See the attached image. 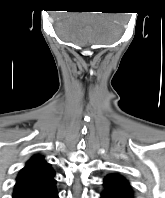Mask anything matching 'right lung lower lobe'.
Listing matches in <instances>:
<instances>
[{
  "mask_svg": "<svg viewBox=\"0 0 165 198\" xmlns=\"http://www.w3.org/2000/svg\"><path fill=\"white\" fill-rule=\"evenodd\" d=\"M35 198H58V193H57L56 187L50 189L49 191H47Z\"/></svg>",
  "mask_w": 165,
  "mask_h": 198,
  "instance_id": "right-lung-lower-lobe-1",
  "label": "right lung lower lobe"
}]
</instances>
